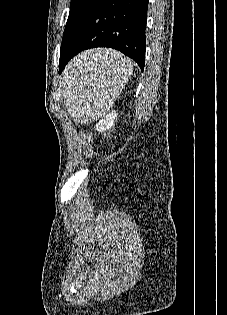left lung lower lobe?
<instances>
[{
	"label": "left lung lower lobe",
	"mask_w": 227,
	"mask_h": 315,
	"mask_svg": "<svg viewBox=\"0 0 227 315\" xmlns=\"http://www.w3.org/2000/svg\"><path fill=\"white\" fill-rule=\"evenodd\" d=\"M148 0H98L61 48L59 74L70 59L95 47L116 49L145 65Z\"/></svg>",
	"instance_id": "obj_1"
}]
</instances>
